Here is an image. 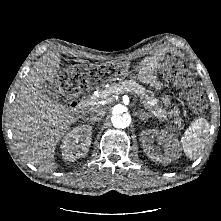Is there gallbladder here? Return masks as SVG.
Here are the masks:
<instances>
[{
    "label": "gallbladder",
    "instance_id": "gallbladder-1",
    "mask_svg": "<svg viewBox=\"0 0 221 221\" xmlns=\"http://www.w3.org/2000/svg\"><path fill=\"white\" fill-rule=\"evenodd\" d=\"M43 91L49 98L59 99L62 92L61 83L58 80L48 81L43 84Z\"/></svg>",
    "mask_w": 221,
    "mask_h": 221
}]
</instances>
